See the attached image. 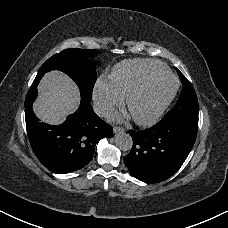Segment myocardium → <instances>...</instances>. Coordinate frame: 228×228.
Returning a JSON list of instances; mask_svg holds the SVG:
<instances>
[{
	"label": "myocardium",
	"instance_id": "1",
	"mask_svg": "<svg viewBox=\"0 0 228 228\" xmlns=\"http://www.w3.org/2000/svg\"><path fill=\"white\" fill-rule=\"evenodd\" d=\"M162 79H172L175 81V85L170 92V94L166 97V99L159 105V107L156 109V111L148 118V119H140L135 116V121L142 126H152L154 125L160 116L163 114L171 100L173 99L175 92L177 90L178 81L177 79L172 75H160L151 77L147 80H145L142 84H140L128 97L126 101L127 108L131 111V105L132 102L138 98L141 94H143L153 83H155L158 80Z\"/></svg>",
	"mask_w": 228,
	"mask_h": 228
}]
</instances>
